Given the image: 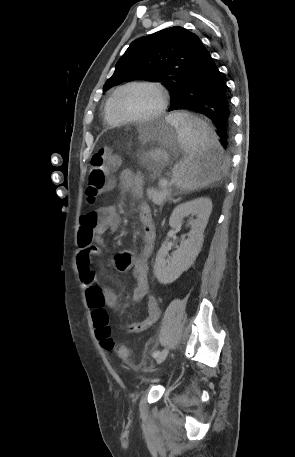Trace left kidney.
<instances>
[{
    "label": "left kidney",
    "mask_w": 295,
    "mask_h": 457,
    "mask_svg": "<svg viewBox=\"0 0 295 457\" xmlns=\"http://www.w3.org/2000/svg\"><path fill=\"white\" fill-rule=\"evenodd\" d=\"M211 212L212 202L204 197L175 207L169 219L170 226L175 230L180 229L183 219L191 216L189 221L191 230L187 234V239L182 236L180 247L171 256L168 255L169 246L167 242L169 238H166L159 249L154 264V274L161 284L174 282L193 265L203 246V233ZM194 215L196 216L195 219L193 218Z\"/></svg>",
    "instance_id": "1"
}]
</instances>
